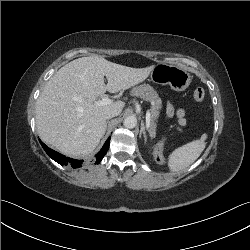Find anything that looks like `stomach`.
Returning a JSON list of instances; mask_svg holds the SVG:
<instances>
[{
	"label": "stomach",
	"instance_id": "stomach-1",
	"mask_svg": "<svg viewBox=\"0 0 250 250\" xmlns=\"http://www.w3.org/2000/svg\"><path fill=\"white\" fill-rule=\"evenodd\" d=\"M151 79L156 83L168 84L175 91H184L191 83V76L184 68L169 64L155 65Z\"/></svg>",
	"mask_w": 250,
	"mask_h": 250
}]
</instances>
